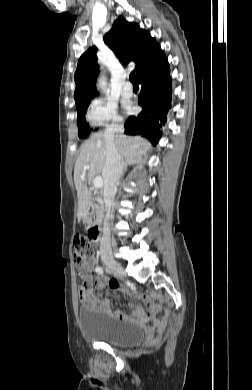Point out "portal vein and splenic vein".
Returning <instances> with one entry per match:
<instances>
[{
    "mask_svg": "<svg viewBox=\"0 0 252 390\" xmlns=\"http://www.w3.org/2000/svg\"><path fill=\"white\" fill-rule=\"evenodd\" d=\"M89 168H90L89 166H85L84 170H88ZM93 183H94L95 188H101L103 186V180L100 176H96L94 178Z\"/></svg>",
    "mask_w": 252,
    "mask_h": 390,
    "instance_id": "portal-vein-and-splenic-vein-1",
    "label": "portal vein and splenic vein"
}]
</instances>
